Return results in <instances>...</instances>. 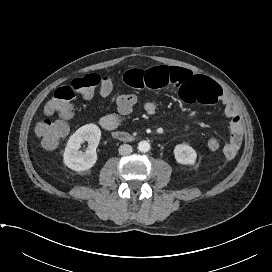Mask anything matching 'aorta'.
I'll list each match as a JSON object with an SVG mask.
<instances>
[{
	"label": "aorta",
	"mask_w": 272,
	"mask_h": 272,
	"mask_svg": "<svg viewBox=\"0 0 272 272\" xmlns=\"http://www.w3.org/2000/svg\"><path fill=\"white\" fill-rule=\"evenodd\" d=\"M138 150L141 152H148L150 150V144L147 141H140L138 143Z\"/></svg>",
	"instance_id": "762f6f07"
}]
</instances>
